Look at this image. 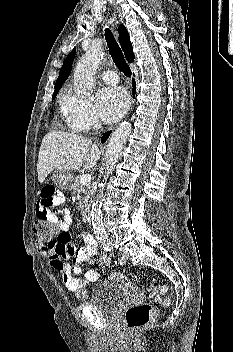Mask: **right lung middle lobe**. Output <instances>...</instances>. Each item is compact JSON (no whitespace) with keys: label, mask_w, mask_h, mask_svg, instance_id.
<instances>
[{"label":"right lung middle lobe","mask_w":233,"mask_h":352,"mask_svg":"<svg viewBox=\"0 0 233 352\" xmlns=\"http://www.w3.org/2000/svg\"><path fill=\"white\" fill-rule=\"evenodd\" d=\"M57 92H58V91H54V93H53V99H55V97H56V95H57Z\"/></svg>","instance_id":"right-lung-middle-lobe-1"}]
</instances>
